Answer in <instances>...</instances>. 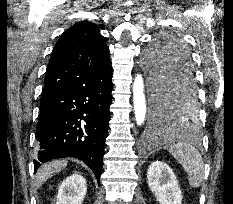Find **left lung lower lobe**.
<instances>
[{
	"mask_svg": "<svg viewBox=\"0 0 233 204\" xmlns=\"http://www.w3.org/2000/svg\"><path fill=\"white\" fill-rule=\"evenodd\" d=\"M167 61L171 63L170 71L157 86L151 87V93L154 96L152 98V119L148 133L149 141L154 140L158 134L167 133L164 130L168 123L169 108L173 102L177 101L182 95L197 98L194 71L189 56L182 52L172 53L168 56ZM162 106H166L165 111L161 109ZM170 130L181 129L172 128Z\"/></svg>",
	"mask_w": 233,
	"mask_h": 204,
	"instance_id": "1",
	"label": "left lung lower lobe"
}]
</instances>
